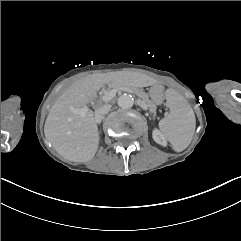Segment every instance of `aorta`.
Here are the masks:
<instances>
[{"mask_svg":"<svg viewBox=\"0 0 241 241\" xmlns=\"http://www.w3.org/2000/svg\"><path fill=\"white\" fill-rule=\"evenodd\" d=\"M118 106L123 109L131 108L134 104V99L129 94H123L118 98Z\"/></svg>","mask_w":241,"mask_h":241,"instance_id":"1","label":"aorta"}]
</instances>
